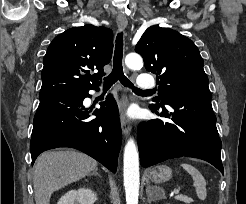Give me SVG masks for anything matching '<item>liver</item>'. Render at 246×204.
Instances as JSON below:
<instances>
[{"mask_svg": "<svg viewBox=\"0 0 246 204\" xmlns=\"http://www.w3.org/2000/svg\"><path fill=\"white\" fill-rule=\"evenodd\" d=\"M97 161L75 151H48L35 162L33 176L36 204H49L53 192L88 175Z\"/></svg>", "mask_w": 246, "mask_h": 204, "instance_id": "6515ba94", "label": "liver"}]
</instances>
